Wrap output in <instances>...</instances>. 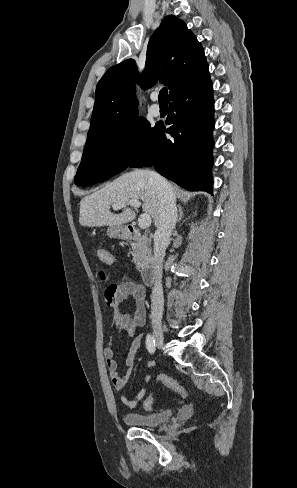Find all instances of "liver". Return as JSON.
Wrapping results in <instances>:
<instances>
[{"mask_svg": "<svg viewBox=\"0 0 297 488\" xmlns=\"http://www.w3.org/2000/svg\"><path fill=\"white\" fill-rule=\"evenodd\" d=\"M132 199L142 201V210L158 225L160 198L148 172L140 169L124 173L97 192L84 197L80 202L79 223L87 227L122 226L135 218V212L126 207ZM118 203L124 204V209L120 214H113L110 206Z\"/></svg>", "mask_w": 297, "mask_h": 488, "instance_id": "liver-1", "label": "liver"}]
</instances>
